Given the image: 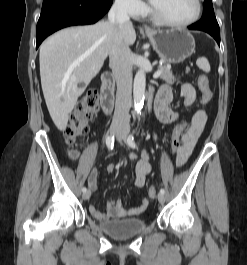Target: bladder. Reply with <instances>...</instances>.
Masks as SVG:
<instances>
[{
    "label": "bladder",
    "mask_w": 247,
    "mask_h": 265,
    "mask_svg": "<svg viewBox=\"0 0 247 265\" xmlns=\"http://www.w3.org/2000/svg\"><path fill=\"white\" fill-rule=\"evenodd\" d=\"M98 225L104 233L117 240L131 238L147 227L146 222L138 218L101 221Z\"/></svg>",
    "instance_id": "31cf9c89"
}]
</instances>
